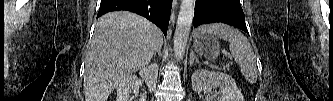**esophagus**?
Returning a JSON list of instances; mask_svg holds the SVG:
<instances>
[{"label":"esophagus","instance_id":"1","mask_svg":"<svg viewBox=\"0 0 333 101\" xmlns=\"http://www.w3.org/2000/svg\"><path fill=\"white\" fill-rule=\"evenodd\" d=\"M173 4H176V0H173Z\"/></svg>","mask_w":333,"mask_h":101}]
</instances>
